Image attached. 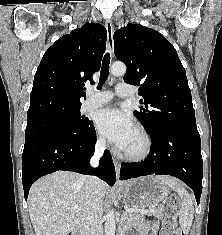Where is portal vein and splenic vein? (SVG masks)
I'll return each instance as SVG.
<instances>
[{"label":"portal vein and splenic vein","instance_id":"obj_1","mask_svg":"<svg viewBox=\"0 0 222 235\" xmlns=\"http://www.w3.org/2000/svg\"><path fill=\"white\" fill-rule=\"evenodd\" d=\"M125 210L128 211V212H133L134 211L133 209H130V208H127V207L125 208ZM154 210H155V208L153 207V208H150L149 210H140V212L147 214V213L154 212Z\"/></svg>","mask_w":222,"mask_h":235}]
</instances>
